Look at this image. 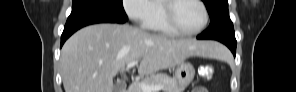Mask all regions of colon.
<instances>
[{
    "label": "colon",
    "instance_id": "5ec220e1",
    "mask_svg": "<svg viewBox=\"0 0 296 92\" xmlns=\"http://www.w3.org/2000/svg\"><path fill=\"white\" fill-rule=\"evenodd\" d=\"M201 75L206 78L210 79L214 74V69L211 66L205 67L200 71ZM193 92H207V89L204 87H196L193 89Z\"/></svg>",
    "mask_w": 296,
    "mask_h": 92
}]
</instances>
